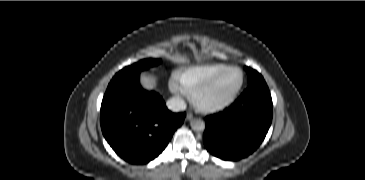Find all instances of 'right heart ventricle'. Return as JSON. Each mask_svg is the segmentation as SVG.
Returning a JSON list of instances; mask_svg holds the SVG:
<instances>
[{
	"label": "right heart ventricle",
	"mask_w": 365,
	"mask_h": 180,
	"mask_svg": "<svg viewBox=\"0 0 365 180\" xmlns=\"http://www.w3.org/2000/svg\"><path fill=\"white\" fill-rule=\"evenodd\" d=\"M223 63H208L191 66L180 70L176 78L182 90L191 95L193 91L211 78L214 74L227 67Z\"/></svg>",
	"instance_id": "right-heart-ventricle-1"
}]
</instances>
